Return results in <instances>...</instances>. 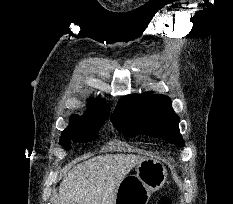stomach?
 Masks as SVG:
<instances>
[{
  "label": "stomach",
  "mask_w": 233,
  "mask_h": 204,
  "mask_svg": "<svg viewBox=\"0 0 233 204\" xmlns=\"http://www.w3.org/2000/svg\"><path fill=\"white\" fill-rule=\"evenodd\" d=\"M166 180L164 164L144 158L136 165V175L125 177L118 186L114 204H147L151 194L162 188Z\"/></svg>",
  "instance_id": "0dacf381"
}]
</instances>
